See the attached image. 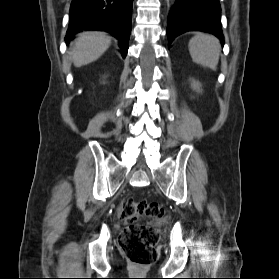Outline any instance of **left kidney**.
<instances>
[{
  "instance_id": "5707ae66",
  "label": "left kidney",
  "mask_w": 279,
  "mask_h": 279,
  "mask_svg": "<svg viewBox=\"0 0 279 279\" xmlns=\"http://www.w3.org/2000/svg\"><path fill=\"white\" fill-rule=\"evenodd\" d=\"M191 88L198 93L202 92L201 83L199 81L194 80V79H192V81H191Z\"/></svg>"
}]
</instances>
